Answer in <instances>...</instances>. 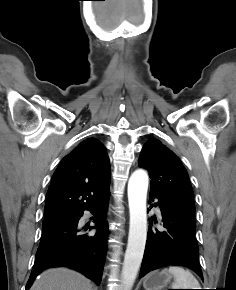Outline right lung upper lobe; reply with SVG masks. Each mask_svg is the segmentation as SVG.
<instances>
[{
    "label": "right lung upper lobe",
    "mask_w": 236,
    "mask_h": 290,
    "mask_svg": "<svg viewBox=\"0 0 236 290\" xmlns=\"http://www.w3.org/2000/svg\"><path fill=\"white\" fill-rule=\"evenodd\" d=\"M110 162L106 147L88 138L66 155L47 192L45 218L74 216L99 203L109 191Z\"/></svg>",
    "instance_id": "right-lung-upper-lobe-1"
}]
</instances>
